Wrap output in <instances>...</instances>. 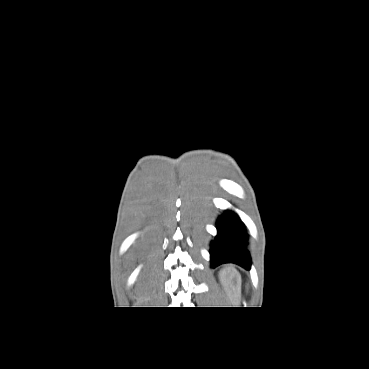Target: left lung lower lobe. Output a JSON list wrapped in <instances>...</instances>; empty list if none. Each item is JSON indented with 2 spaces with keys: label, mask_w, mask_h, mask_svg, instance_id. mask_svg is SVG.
<instances>
[{
  "label": "left lung lower lobe",
  "mask_w": 369,
  "mask_h": 369,
  "mask_svg": "<svg viewBox=\"0 0 369 369\" xmlns=\"http://www.w3.org/2000/svg\"><path fill=\"white\" fill-rule=\"evenodd\" d=\"M218 235L211 242V265L235 263L250 268L251 258L247 250L248 236L244 225L236 214L226 211L217 219Z\"/></svg>",
  "instance_id": "0a47b994"
}]
</instances>
